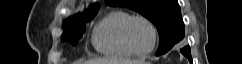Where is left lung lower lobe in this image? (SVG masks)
Masks as SVG:
<instances>
[{
    "instance_id": "1",
    "label": "left lung lower lobe",
    "mask_w": 242,
    "mask_h": 64,
    "mask_svg": "<svg viewBox=\"0 0 242 64\" xmlns=\"http://www.w3.org/2000/svg\"><path fill=\"white\" fill-rule=\"evenodd\" d=\"M180 52L185 55L190 62H192L190 47L186 46L180 50Z\"/></svg>"
}]
</instances>
